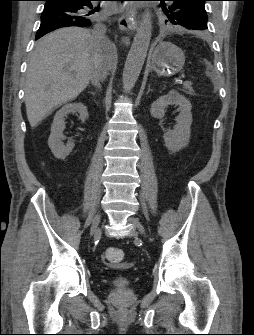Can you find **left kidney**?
<instances>
[{
    "label": "left kidney",
    "mask_w": 254,
    "mask_h": 335,
    "mask_svg": "<svg viewBox=\"0 0 254 335\" xmlns=\"http://www.w3.org/2000/svg\"><path fill=\"white\" fill-rule=\"evenodd\" d=\"M168 105H178L180 114L176 117L177 124L173 130L164 133L166 147L172 152H178L189 144L192 124L191 103L177 91L171 90L167 95L159 97L151 105L152 117L162 119L165 115L164 109Z\"/></svg>",
    "instance_id": "obj_1"
}]
</instances>
